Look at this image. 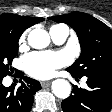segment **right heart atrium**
Masks as SVG:
<instances>
[{
    "instance_id": "1",
    "label": "right heart atrium",
    "mask_w": 112,
    "mask_h": 112,
    "mask_svg": "<svg viewBox=\"0 0 112 112\" xmlns=\"http://www.w3.org/2000/svg\"><path fill=\"white\" fill-rule=\"evenodd\" d=\"M26 37H27V32H24V33L20 36V39H19V44H20V46H23V45L25 44Z\"/></svg>"
}]
</instances>
